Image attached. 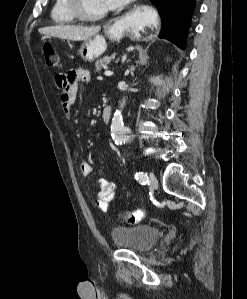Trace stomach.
<instances>
[{"instance_id":"obj_1","label":"stomach","mask_w":247,"mask_h":299,"mask_svg":"<svg viewBox=\"0 0 247 299\" xmlns=\"http://www.w3.org/2000/svg\"><path fill=\"white\" fill-rule=\"evenodd\" d=\"M128 31V28L125 26V20L114 21L105 26L106 37L112 42L119 41ZM106 49L107 43L105 37L97 35L85 40L81 44L79 54L83 61L93 62L100 57Z\"/></svg>"}]
</instances>
